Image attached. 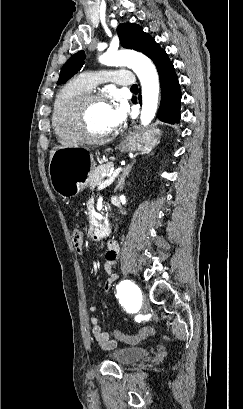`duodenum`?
<instances>
[{
	"instance_id": "1",
	"label": "duodenum",
	"mask_w": 243,
	"mask_h": 409,
	"mask_svg": "<svg viewBox=\"0 0 243 409\" xmlns=\"http://www.w3.org/2000/svg\"><path fill=\"white\" fill-rule=\"evenodd\" d=\"M109 233V225L107 223L103 222H96L94 224V235L95 238L101 239L105 236H107Z\"/></svg>"
}]
</instances>
